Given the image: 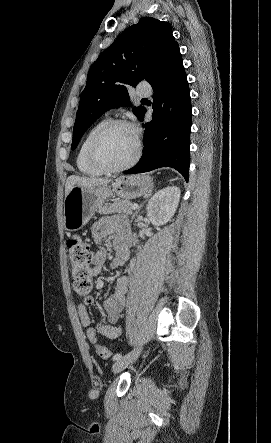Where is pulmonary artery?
Returning <instances> with one entry per match:
<instances>
[{"mask_svg": "<svg viewBox=\"0 0 271 443\" xmlns=\"http://www.w3.org/2000/svg\"><path fill=\"white\" fill-rule=\"evenodd\" d=\"M138 94L141 96H147L150 94V92L139 91Z\"/></svg>", "mask_w": 271, "mask_h": 443, "instance_id": "e3ab8cb5", "label": "pulmonary artery"}]
</instances>
